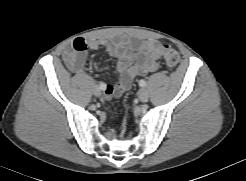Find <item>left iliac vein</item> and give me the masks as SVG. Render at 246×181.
<instances>
[{"mask_svg":"<svg viewBox=\"0 0 246 181\" xmlns=\"http://www.w3.org/2000/svg\"><path fill=\"white\" fill-rule=\"evenodd\" d=\"M139 99L141 102H147L149 99L148 92L145 89L139 91Z\"/></svg>","mask_w":246,"mask_h":181,"instance_id":"1","label":"left iliac vein"}]
</instances>
